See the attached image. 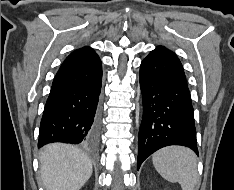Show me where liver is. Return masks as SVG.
Instances as JSON below:
<instances>
[{"label":"liver","mask_w":234,"mask_h":190,"mask_svg":"<svg viewBox=\"0 0 234 190\" xmlns=\"http://www.w3.org/2000/svg\"><path fill=\"white\" fill-rule=\"evenodd\" d=\"M39 160L41 179L46 190H80L92 174L89 157L71 145H47Z\"/></svg>","instance_id":"6515ba94"}]
</instances>
